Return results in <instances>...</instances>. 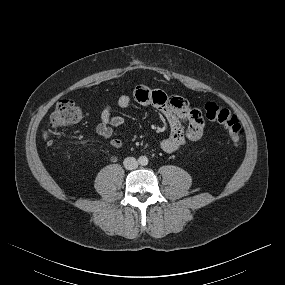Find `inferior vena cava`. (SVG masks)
<instances>
[{
  "instance_id": "obj_1",
  "label": "inferior vena cava",
  "mask_w": 285,
  "mask_h": 285,
  "mask_svg": "<svg viewBox=\"0 0 285 285\" xmlns=\"http://www.w3.org/2000/svg\"><path fill=\"white\" fill-rule=\"evenodd\" d=\"M123 164L127 170H134L138 167V162L134 157L125 158Z\"/></svg>"
}]
</instances>
